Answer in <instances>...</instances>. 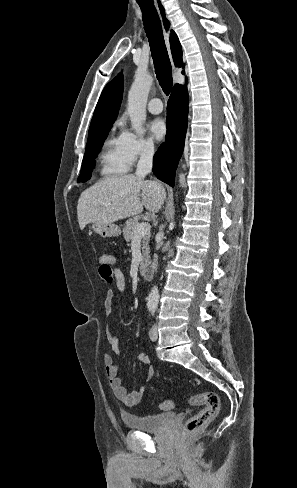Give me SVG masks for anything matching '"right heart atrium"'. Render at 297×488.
I'll list each match as a JSON object with an SVG mask.
<instances>
[{
  "label": "right heart atrium",
  "mask_w": 297,
  "mask_h": 488,
  "mask_svg": "<svg viewBox=\"0 0 297 488\" xmlns=\"http://www.w3.org/2000/svg\"><path fill=\"white\" fill-rule=\"evenodd\" d=\"M120 138L122 151L129 165L140 159H148L155 152V145L150 139L141 137L128 129H122Z\"/></svg>",
  "instance_id": "right-heart-atrium-1"
}]
</instances>
